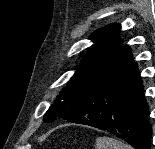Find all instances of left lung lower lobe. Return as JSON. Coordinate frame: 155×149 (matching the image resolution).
Here are the masks:
<instances>
[{"instance_id":"left-lung-lower-lobe-1","label":"left lung lower lobe","mask_w":155,"mask_h":149,"mask_svg":"<svg viewBox=\"0 0 155 149\" xmlns=\"http://www.w3.org/2000/svg\"><path fill=\"white\" fill-rule=\"evenodd\" d=\"M148 104L137 64L122 46L113 65L78 98L65 120L107 130L136 149H150Z\"/></svg>"}]
</instances>
